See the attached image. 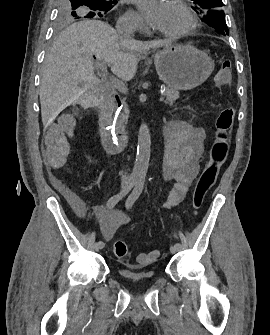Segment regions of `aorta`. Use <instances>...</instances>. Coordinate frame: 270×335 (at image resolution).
<instances>
[{"instance_id":"aorta-1","label":"aorta","mask_w":270,"mask_h":335,"mask_svg":"<svg viewBox=\"0 0 270 335\" xmlns=\"http://www.w3.org/2000/svg\"><path fill=\"white\" fill-rule=\"evenodd\" d=\"M150 146V130L146 124H141L138 134L136 162L131 175L132 179H136V181L138 179L145 181L150 160Z\"/></svg>"}]
</instances>
